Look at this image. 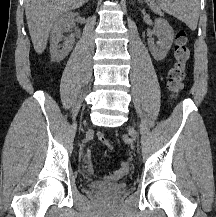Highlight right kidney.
<instances>
[{"mask_svg": "<svg viewBox=\"0 0 216 217\" xmlns=\"http://www.w3.org/2000/svg\"><path fill=\"white\" fill-rule=\"evenodd\" d=\"M75 15L72 12L62 15L54 24L50 36V53L54 62L62 61L73 48L75 39L69 36L65 44L60 49L59 42L64 38L63 33L70 31L74 23Z\"/></svg>", "mask_w": 216, "mask_h": 217, "instance_id": "obj_1", "label": "right kidney"}]
</instances>
